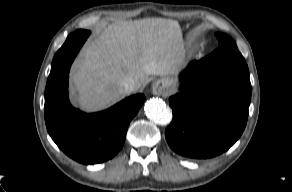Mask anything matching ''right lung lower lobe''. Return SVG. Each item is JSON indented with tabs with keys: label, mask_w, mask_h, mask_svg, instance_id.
<instances>
[{
	"label": "right lung lower lobe",
	"mask_w": 292,
	"mask_h": 192,
	"mask_svg": "<svg viewBox=\"0 0 292 192\" xmlns=\"http://www.w3.org/2000/svg\"><path fill=\"white\" fill-rule=\"evenodd\" d=\"M90 32L71 33L55 54L45 89V122L57 146L72 159L95 164L113 158L122 148L128 125L142 106L145 96L137 94L110 109L85 114L68 100L70 66Z\"/></svg>",
	"instance_id": "98d812e1"
}]
</instances>
